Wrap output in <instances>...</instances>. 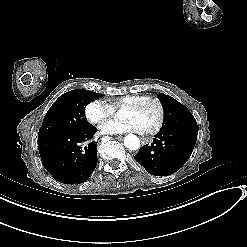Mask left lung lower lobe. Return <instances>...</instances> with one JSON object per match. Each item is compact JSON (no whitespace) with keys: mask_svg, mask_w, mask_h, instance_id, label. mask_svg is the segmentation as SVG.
Segmentation results:
<instances>
[{"mask_svg":"<svg viewBox=\"0 0 247 247\" xmlns=\"http://www.w3.org/2000/svg\"><path fill=\"white\" fill-rule=\"evenodd\" d=\"M194 129L161 130L151 145L142 146L134 159L147 172L167 176L179 170L189 159L197 140Z\"/></svg>","mask_w":247,"mask_h":247,"instance_id":"1","label":"left lung lower lobe"}]
</instances>
